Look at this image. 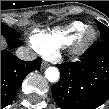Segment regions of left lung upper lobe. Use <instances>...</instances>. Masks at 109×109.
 Instances as JSON below:
<instances>
[{
	"instance_id": "left-lung-upper-lobe-1",
	"label": "left lung upper lobe",
	"mask_w": 109,
	"mask_h": 109,
	"mask_svg": "<svg viewBox=\"0 0 109 109\" xmlns=\"http://www.w3.org/2000/svg\"><path fill=\"white\" fill-rule=\"evenodd\" d=\"M96 23L100 31V38L102 40H109V28L97 20H96Z\"/></svg>"
}]
</instances>
